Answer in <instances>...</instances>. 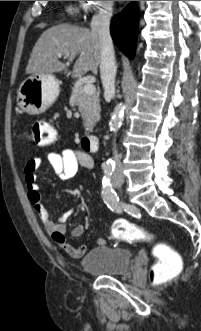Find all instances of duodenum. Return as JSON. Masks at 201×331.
I'll return each mask as SVG.
<instances>
[{
  "instance_id": "410a0bca",
  "label": "duodenum",
  "mask_w": 201,
  "mask_h": 331,
  "mask_svg": "<svg viewBox=\"0 0 201 331\" xmlns=\"http://www.w3.org/2000/svg\"><path fill=\"white\" fill-rule=\"evenodd\" d=\"M82 146L92 152H96L99 149V139L95 135H85L82 138Z\"/></svg>"
}]
</instances>
